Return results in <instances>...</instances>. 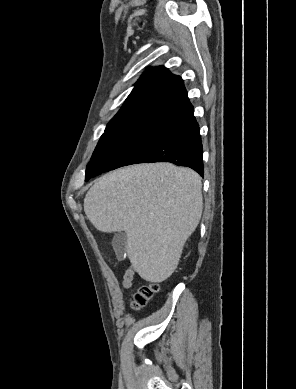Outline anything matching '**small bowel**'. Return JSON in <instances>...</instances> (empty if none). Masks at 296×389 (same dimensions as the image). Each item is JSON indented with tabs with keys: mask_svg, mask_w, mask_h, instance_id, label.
I'll use <instances>...</instances> for the list:
<instances>
[{
	"mask_svg": "<svg viewBox=\"0 0 296 389\" xmlns=\"http://www.w3.org/2000/svg\"><path fill=\"white\" fill-rule=\"evenodd\" d=\"M135 271L133 268H128L123 276V287L129 288L134 279Z\"/></svg>",
	"mask_w": 296,
	"mask_h": 389,
	"instance_id": "c3829d8e",
	"label": "small bowel"
}]
</instances>
